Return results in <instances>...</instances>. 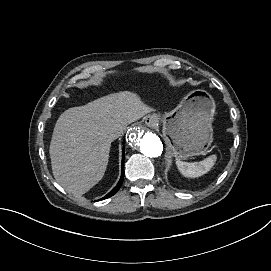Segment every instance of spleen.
<instances>
[{"label":"spleen","mask_w":271,"mask_h":271,"mask_svg":"<svg viewBox=\"0 0 271 271\" xmlns=\"http://www.w3.org/2000/svg\"><path fill=\"white\" fill-rule=\"evenodd\" d=\"M215 160L216 157L214 155H210L199 162H187L179 160L177 161V165L184 174L196 176L208 171L213 166Z\"/></svg>","instance_id":"obj_1"}]
</instances>
